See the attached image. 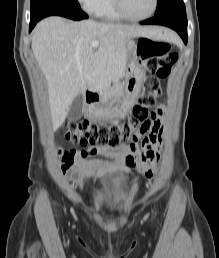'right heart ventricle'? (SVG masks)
<instances>
[{"instance_id":"obj_1","label":"right heart ventricle","mask_w":219,"mask_h":258,"mask_svg":"<svg viewBox=\"0 0 219 258\" xmlns=\"http://www.w3.org/2000/svg\"><path fill=\"white\" fill-rule=\"evenodd\" d=\"M95 14L100 18L108 20H117L121 18L115 9L113 0H103Z\"/></svg>"}]
</instances>
